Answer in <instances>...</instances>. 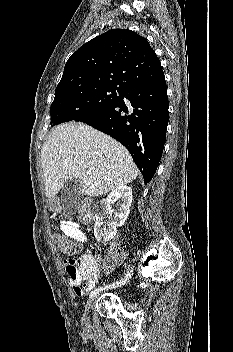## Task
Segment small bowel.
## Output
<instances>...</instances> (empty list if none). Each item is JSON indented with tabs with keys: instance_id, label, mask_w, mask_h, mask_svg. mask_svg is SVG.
Here are the masks:
<instances>
[{
	"instance_id": "small-bowel-1",
	"label": "small bowel",
	"mask_w": 233,
	"mask_h": 352,
	"mask_svg": "<svg viewBox=\"0 0 233 352\" xmlns=\"http://www.w3.org/2000/svg\"><path fill=\"white\" fill-rule=\"evenodd\" d=\"M60 227L66 236L74 239L80 244L87 242V236L83 232L81 225L77 222L65 220L61 222ZM99 262L100 258L89 253L82 254L78 262L74 259H68L65 261V269L68 274V283L70 284L75 295L82 297L94 289L101 275ZM90 265H95L96 267V270L92 274L83 276L78 273L77 269L79 266L86 267Z\"/></svg>"
}]
</instances>
